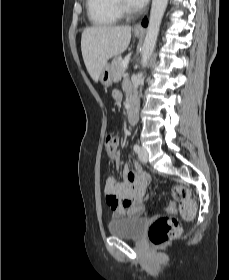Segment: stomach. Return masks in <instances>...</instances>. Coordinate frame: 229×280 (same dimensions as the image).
I'll list each match as a JSON object with an SVG mask.
<instances>
[{
  "label": "stomach",
  "mask_w": 229,
  "mask_h": 280,
  "mask_svg": "<svg viewBox=\"0 0 229 280\" xmlns=\"http://www.w3.org/2000/svg\"><path fill=\"white\" fill-rule=\"evenodd\" d=\"M141 33L136 32L135 36L139 37ZM100 82L102 83L103 86L109 87L112 85L113 82V77H112V69L109 64H106V66L103 68L100 77H99Z\"/></svg>",
  "instance_id": "0dacf381"
}]
</instances>
